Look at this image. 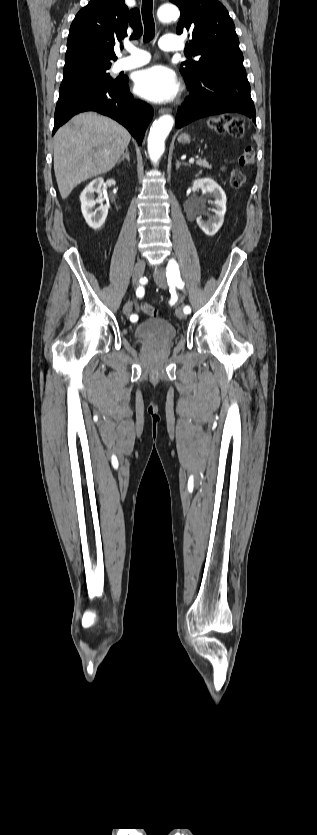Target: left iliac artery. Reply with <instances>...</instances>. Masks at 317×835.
<instances>
[{"instance_id":"obj_1","label":"left iliac artery","mask_w":317,"mask_h":835,"mask_svg":"<svg viewBox=\"0 0 317 835\" xmlns=\"http://www.w3.org/2000/svg\"><path fill=\"white\" fill-rule=\"evenodd\" d=\"M166 276H167L168 284L171 287L175 286V285L179 289H182L184 287V282L182 281V279L180 277V271H179V267H178V264L176 263V261L170 260V262L168 264V267H167ZM183 311L187 314L190 313L191 312L190 306H188V305L185 306L183 308Z\"/></svg>"}]
</instances>
